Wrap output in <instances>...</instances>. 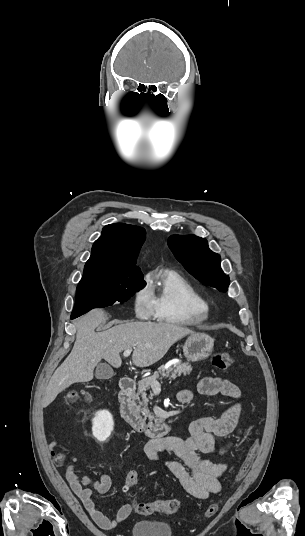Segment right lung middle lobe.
<instances>
[{"instance_id": "1", "label": "right lung middle lobe", "mask_w": 305, "mask_h": 536, "mask_svg": "<svg viewBox=\"0 0 305 536\" xmlns=\"http://www.w3.org/2000/svg\"><path fill=\"white\" fill-rule=\"evenodd\" d=\"M146 285L143 277L99 279L82 277L76 289V302L72 315L80 316L96 307L127 301Z\"/></svg>"}]
</instances>
